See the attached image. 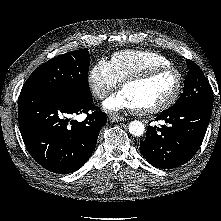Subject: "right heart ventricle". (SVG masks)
Masks as SVG:
<instances>
[{
	"instance_id": "right-heart-ventricle-1",
	"label": "right heart ventricle",
	"mask_w": 221,
	"mask_h": 221,
	"mask_svg": "<svg viewBox=\"0 0 221 221\" xmlns=\"http://www.w3.org/2000/svg\"><path fill=\"white\" fill-rule=\"evenodd\" d=\"M109 63L119 81L150 68L172 65L164 55L149 50L119 51L111 56Z\"/></svg>"
}]
</instances>
